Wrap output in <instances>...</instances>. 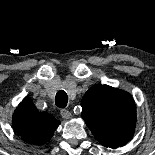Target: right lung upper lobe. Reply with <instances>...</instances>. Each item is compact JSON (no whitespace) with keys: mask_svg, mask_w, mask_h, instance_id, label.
<instances>
[{"mask_svg":"<svg viewBox=\"0 0 155 155\" xmlns=\"http://www.w3.org/2000/svg\"><path fill=\"white\" fill-rule=\"evenodd\" d=\"M12 125L23 141L42 145L49 141L60 121L46 112H38L32 100L25 97L12 116Z\"/></svg>","mask_w":155,"mask_h":155,"instance_id":"obj_1","label":"right lung upper lobe"}]
</instances>
